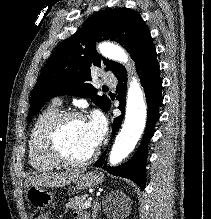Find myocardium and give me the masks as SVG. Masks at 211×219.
I'll return each mask as SVG.
<instances>
[{
  "label": "myocardium",
  "mask_w": 211,
  "mask_h": 219,
  "mask_svg": "<svg viewBox=\"0 0 211 219\" xmlns=\"http://www.w3.org/2000/svg\"><path fill=\"white\" fill-rule=\"evenodd\" d=\"M72 120H84V116L77 111H61L49 120L40 135V149L44 156L58 165L74 167L87 166L97 157V148L86 158L74 159L67 156L60 147V133L64 126Z\"/></svg>",
  "instance_id": "obj_1"
}]
</instances>
